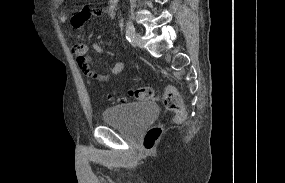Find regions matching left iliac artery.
<instances>
[{
    "instance_id": "obj_1",
    "label": "left iliac artery",
    "mask_w": 285,
    "mask_h": 183,
    "mask_svg": "<svg viewBox=\"0 0 285 183\" xmlns=\"http://www.w3.org/2000/svg\"><path fill=\"white\" fill-rule=\"evenodd\" d=\"M134 34L135 28L131 22H128L126 26V39L131 42V40L134 38Z\"/></svg>"
}]
</instances>
